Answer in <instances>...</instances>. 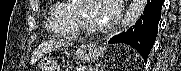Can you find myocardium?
Returning <instances> with one entry per match:
<instances>
[{
    "instance_id": "myocardium-1",
    "label": "myocardium",
    "mask_w": 181,
    "mask_h": 71,
    "mask_svg": "<svg viewBox=\"0 0 181 71\" xmlns=\"http://www.w3.org/2000/svg\"><path fill=\"white\" fill-rule=\"evenodd\" d=\"M88 1H92V0H74L72 4L73 13H74L73 18L80 32L84 34H88V35H97L105 31L107 27L106 26H92V25H89L87 22H85L82 15V10H83L82 3L88 2Z\"/></svg>"
}]
</instances>
